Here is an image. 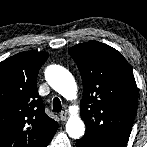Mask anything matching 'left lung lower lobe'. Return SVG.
I'll list each match as a JSON object with an SVG mask.
<instances>
[{"label":"left lung lower lobe","mask_w":147,"mask_h":147,"mask_svg":"<svg viewBox=\"0 0 147 147\" xmlns=\"http://www.w3.org/2000/svg\"><path fill=\"white\" fill-rule=\"evenodd\" d=\"M76 147H91L85 141L79 139L76 141Z\"/></svg>","instance_id":"left-lung-lower-lobe-1"}]
</instances>
